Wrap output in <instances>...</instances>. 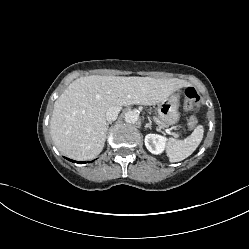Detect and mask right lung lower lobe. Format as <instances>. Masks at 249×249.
<instances>
[{
  "instance_id": "1",
  "label": "right lung lower lobe",
  "mask_w": 249,
  "mask_h": 249,
  "mask_svg": "<svg viewBox=\"0 0 249 249\" xmlns=\"http://www.w3.org/2000/svg\"><path fill=\"white\" fill-rule=\"evenodd\" d=\"M68 160H70V159H68ZM70 161H72V162H76V163H84V162H78V161H73V160H70Z\"/></svg>"
}]
</instances>
